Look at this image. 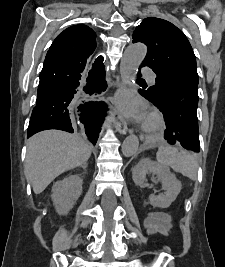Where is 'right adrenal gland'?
<instances>
[{
  "label": "right adrenal gland",
  "instance_id": "obj_1",
  "mask_svg": "<svg viewBox=\"0 0 225 267\" xmlns=\"http://www.w3.org/2000/svg\"><path fill=\"white\" fill-rule=\"evenodd\" d=\"M82 167H83L84 170H86L87 164H84Z\"/></svg>",
  "mask_w": 225,
  "mask_h": 267
}]
</instances>
